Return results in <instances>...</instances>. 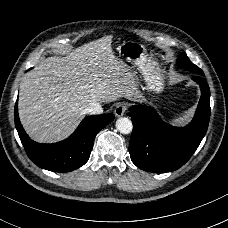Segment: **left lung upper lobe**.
I'll use <instances>...</instances> for the list:
<instances>
[{
  "label": "left lung upper lobe",
  "mask_w": 228,
  "mask_h": 228,
  "mask_svg": "<svg viewBox=\"0 0 228 228\" xmlns=\"http://www.w3.org/2000/svg\"><path fill=\"white\" fill-rule=\"evenodd\" d=\"M176 64L178 67L185 69V70H188V71H191V72H194L197 75H200V76L204 75L202 70L199 67H197L196 65H194L189 60V58L187 57V55L185 53H181L179 55Z\"/></svg>",
  "instance_id": "1"
}]
</instances>
